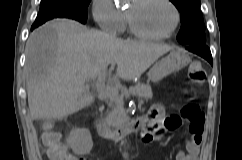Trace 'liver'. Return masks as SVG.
<instances>
[{
    "label": "liver",
    "mask_w": 242,
    "mask_h": 160,
    "mask_svg": "<svg viewBox=\"0 0 242 160\" xmlns=\"http://www.w3.org/2000/svg\"><path fill=\"white\" fill-rule=\"evenodd\" d=\"M174 47L117 39L69 19L50 21L33 31L26 44L25 77L33 119H59L89 106L94 96L85 88L90 78L117 69L113 82L139 78Z\"/></svg>",
    "instance_id": "liver-1"
}]
</instances>
